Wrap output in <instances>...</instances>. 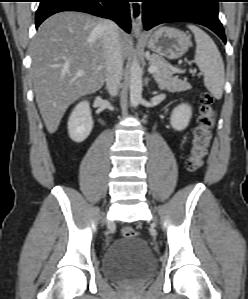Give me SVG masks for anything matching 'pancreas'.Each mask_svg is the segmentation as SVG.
Returning a JSON list of instances; mask_svg holds the SVG:
<instances>
[{"instance_id": "obj_1", "label": "pancreas", "mask_w": 248, "mask_h": 299, "mask_svg": "<svg viewBox=\"0 0 248 299\" xmlns=\"http://www.w3.org/2000/svg\"><path fill=\"white\" fill-rule=\"evenodd\" d=\"M151 66H155L158 71L153 74L160 88L168 89L171 92L184 91L190 88V84L186 81L173 77V72L168 63L158 55H152Z\"/></svg>"}]
</instances>
